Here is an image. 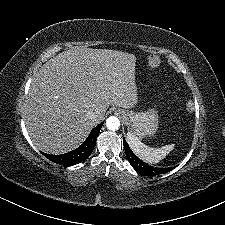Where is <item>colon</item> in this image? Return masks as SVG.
<instances>
[{"instance_id":"colon-1","label":"colon","mask_w":225,"mask_h":225,"mask_svg":"<svg viewBox=\"0 0 225 225\" xmlns=\"http://www.w3.org/2000/svg\"><path fill=\"white\" fill-rule=\"evenodd\" d=\"M148 64L151 67H157L160 65V59H158L157 57H154V56H150L148 59Z\"/></svg>"}]
</instances>
